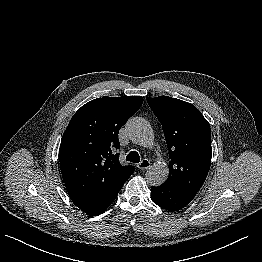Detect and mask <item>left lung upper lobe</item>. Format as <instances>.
Segmentation results:
<instances>
[{
  "mask_svg": "<svg viewBox=\"0 0 262 262\" xmlns=\"http://www.w3.org/2000/svg\"><path fill=\"white\" fill-rule=\"evenodd\" d=\"M147 102L162 124L169 150V176L164 183L196 195L211 165L209 123L191 103L168 96L147 98Z\"/></svg>",
  "mask_w": 262,
  "mask_h": 262,
  "instance_id": "left-lung-upper-lobe-1",
  "label": "left lung upper lobe"
}]
</instances>
